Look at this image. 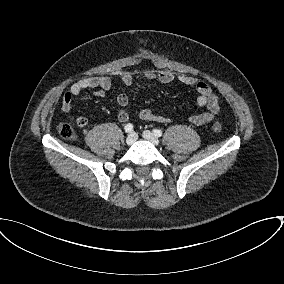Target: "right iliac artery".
Returning a JSON list of instances; mask_svg holds the SVG:
<instances>
[{"label": "right iliac artery", "instance_id": "obj_1", "mask_svg": "<svg viewBox=\"0 0 284 284\" xmlns=\"http://www.w3.org/2000/svg\"><path fill=\"white\" fill-rule=\"evenodd\" d=\"M124 129L126 132H131L133 131V125L131 123H128Z\"/></svg>", "mask_w": 284, "mask_h": 284}]
</instances>
